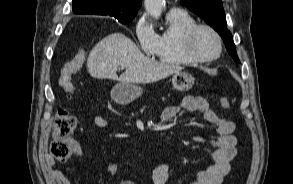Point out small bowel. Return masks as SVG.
<instances>
[{
    "instance_id": "c3829d8e",
    "label": "small bowel",
    "mask_w": 293,
    "mask_h": 184,
    "mask_svg": "<svg viewBox=\"0 0 293 184\" xmlns=\"http://www.w3.org/2000/svg\"><path fill=\"white\" fill-rule=\"evenodd\" d=\"M182 111L190 113L201 112L204 119L215 127L216 136L206 139L202 136H193L191 139L197 143L209 145L212 149L214 164L206 170L198 172L190 184H222L224 177L229 173L232 160L237 154V139L234 135L235 124L223 117L218 116L209 106L207 100L200 96H186L181 103L169 106L164 109L162 119L169 121ZM94 123L98 127H106L108 122L102 116H95ZM74 157H80V149L73 144ZM54 162H50L49 176L55 184H72L71 181L59 169H53ZM120 169L119 164L110 163L105 167V171L115 176ZM152 179L154 184H171L169 177V167L165 162H159L153 170ZM116 184H135L130 180H120Z\"/></svg>"
}]
</instances>
